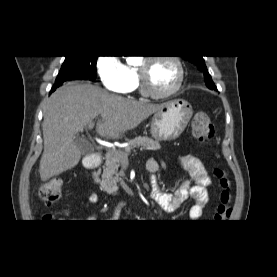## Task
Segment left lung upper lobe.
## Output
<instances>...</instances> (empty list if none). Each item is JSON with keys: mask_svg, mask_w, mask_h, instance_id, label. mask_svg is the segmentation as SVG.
Masks as SVG:
<instances>
[{"mask_svg": "<svg viewBox=\"0 0 277 277\" xmlns=\"http://www.w3.org/2000/svg\"><path fill=\"white\" fill-rule=\"evenodd\" d=\"M182 57L190 61L191 63L195 64L197 67H199L200 70L204 73V79H205L206 85L212 90L216 89V86L211 79V76L207 70V67L205 65V62L202 56H182Z\"/></svg>", "mask_w": 277, "mask_h": 277, "instance_id": "5c2ea615", "label": "left lung upper lobe"}]
</instances>
